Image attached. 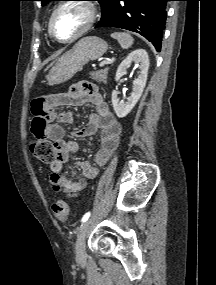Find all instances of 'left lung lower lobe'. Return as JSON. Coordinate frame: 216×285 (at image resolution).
<instances>
[{
    "label": "left lung lower lobe",
    "mask_w": 216,
    "mask_h": 285,
    "mask_svg": "<svg viewBox=\"0 0 216 285\" xmlns=\"http://www.w3.org/2000/svg\"><path fill=\"white\" fill-rule=\"evenodd\" d=\"M167 1L170 0H114L96 28L109 26L137 32L160 52Z\"/></svg>",
    "instance_id": "obj_1"
}]
</instances>
